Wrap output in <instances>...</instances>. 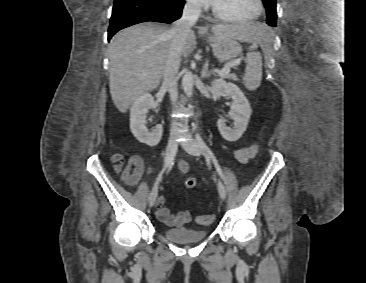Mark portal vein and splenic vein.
I'll return each mask as SVG.
<instances>
[{
	"instance_id": "18ae733b",
	"label": "portal vein and splenic vein",
	"mask_w": 366,
	"mask_h": 283,
	"mask_svg": "<svg viewBox=\"0 0 366 283\" xmlns=\"http://www.w3.org/2000/svg\"><path fill=\"white\" fill-rule=\"evenodd\" d=\"M241 63V61L239 59H235L233 61H231L227 66H225L220 72L219 75L220 76H224L230 73L231 71V67H237L239 66Z\"/></svg>"
}]
</instances>
